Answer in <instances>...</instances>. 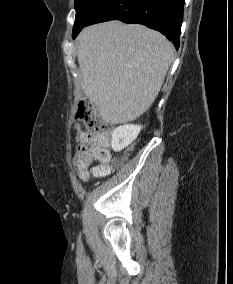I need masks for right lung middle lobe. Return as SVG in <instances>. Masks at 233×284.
Returning <instances> with one entry per match:
<instances>
[{
    "label": "right lung middle lobe",
    "mask_w": 233,
    "mask_h": 284,
    "mask_svg": "<svg viewBox=\"0 0 233 284\" xmlns=\"http://www.w3.org/2000/svg\"><path fill=\"white\" fill-rule=\"evenodd\" d=\"M109 0H75L76 18L73 33L84 27L91 17Z\"/></svg>",
    "instance_id": "right-lung-middle-lobe-1"
}]
</instances>
